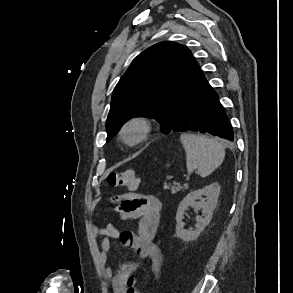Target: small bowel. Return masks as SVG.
<instances>
[{"instance_id":"obj_1","label":"small bowel","mask_w":293,"mask_h":293,"mask_svg":"<svg viewBox=\"0 0 293 293\" xmlns=\"http://www.w3.org/2000/svg\"><path fill=\"white\" fill-rule=\"evenodd\" d=\"M112 201L115 205L114 210L124 221L138 220V229L136 232L119 231L111 223L105 224L104 227L92 224L93 239L100 241L103 254L109 255L110 240L119 238L125 247L133 249L140 258L150 260L151 271L157 278L162 260L159 250L160 238L157 235L162 209L160 200L153 195L128 192L114 196ZM133 273L143 275L144 270L127 262L109 267L107 275L111 279L113 293H127V281Z\"/></svg>"}]
</instances>
